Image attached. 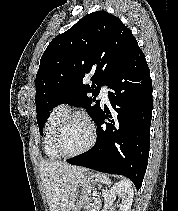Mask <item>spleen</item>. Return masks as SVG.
Wrapping results in <instances>:
<instances>
[{"label":"spleen","instance_id":"3e777b00","mask_svg":"<svg viewBox=\"0 0 178 211\" xmlns=\"http://www.w3.org/2000/svg\"><path fill=\"white\" fill-rule=\"evenodd\" d=\"M92 177L97 182L103 183L105 185H110L111 184L110 179L105 174L96 173V174H93Z\"/></svg>","mask_w":178,"mask_h":211}]
</instances>
